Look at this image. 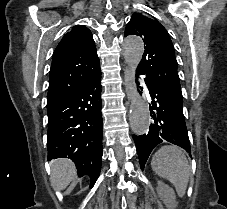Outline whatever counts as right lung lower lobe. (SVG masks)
<instances>
[{
	"mask_svg": "<svg viewBox=\"0 0 227 209\" xmlns=\"http://www.w3.org/2000/svg\"><path fill=\"white\" fill-rule=\"evenodd\" d=\"M87 74L85 82L68 96L47 106L48 161L69 158L78 175H88L93 186L100 174L102 148L101 71L89 73L86 67L75 69Z\"/></svg>",
	"mask_w": 227,
	"mask_h": 209,
	"instance_id": "1",
	"label": "right lung lower lobe"
}]
</instances>
